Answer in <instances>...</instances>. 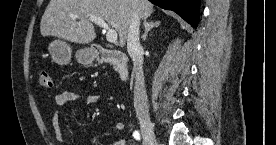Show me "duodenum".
<instances>
[{
	"label": "duodenum",
	"mask_w": 276,
	"mask_h": 145,
	"mask_svg": "<svg viewBox=\"0 0 276 145\" xmlns=\"http://www.w3.org/2000/svg\"><path fill=\"white\" fill-rule=\"evenodd\" d=\"M95 58L100 62L111 63L114 70L119 74L122 80L129 77V70L127 66V57L120 51L115 49H107L103 46L97 45L94 48Z\"/></svg>",
	"instance_id": "410a0bca"
}]
</instances>
